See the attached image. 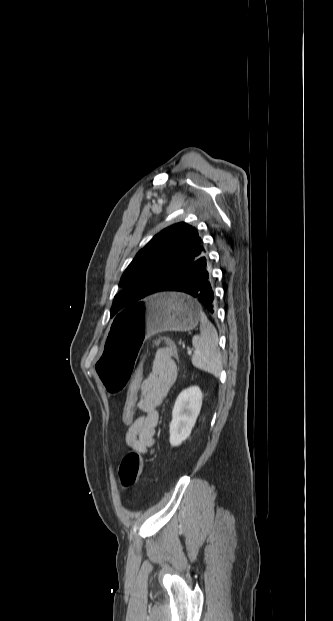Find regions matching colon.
I'll return each instance as SVG.
<instances>
[{"label":"colon","mask_w":333,"mask_h":621,"mask_svg":"<svg viewBox=\"0 0 333 621\" xmlns=\"http://www.w3.org/2000/svg\"><path fill=\"white\" fill-rule=\"evenodd\" d=\"M172 351L176 356V351L172 347ZM143 381L142 367H138L130 377L125 402L122 410V419L125 423L130 424L134 420L137 409L138 396ZM143 470L142 458L138 452L131 451L127 453L119 466V480L124 488L133 486L139 479Z\"/></svg>","instance_id":"5ec220e1"}]
</instances>
